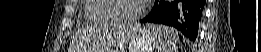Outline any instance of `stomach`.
I'll return each mask as SVG.
<instances>
[{
	"label": "stomach",
	"instance_id": "stomach-1",
	"mask_svg": "<svg viewBox=\"0 0 261 52\" xmlns=\"http://www.w3.org/2000/svg\"><path fill=\"white\" fill-rule=\"evenodd\" d=\"M111 29H120L125 32L120 36L117 45L118 52H153L157 40L149 28H127V26H114Z\"/></svg>",
	"mask_w": 261,
	"mask_h": 52
}]
</instances>
